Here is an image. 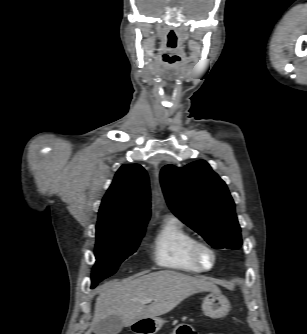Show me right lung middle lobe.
<instances>
[{"label": "right lung middle lobe", "instance_id": "obj_1", "mask_svg": "<svg viewBox=\"0 0 307 334\" xmlns=\"http://www.w3.org/2000/svg\"><path fill=\"white\" fill-rule=\"evenodd\" d=\"M144 232L145 226L96 231L97 261L92 271V288L114 274L120 263L136 251Z\"/></svg>", "mask_w": 307, "mask_h": 334}]
</instances>
